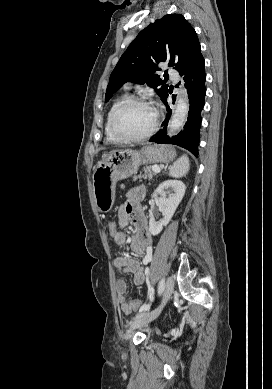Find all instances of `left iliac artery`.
Here are the masks:
<instances>
[{
	"label": "left iliac artery",
	"instance_id": "obj_1",
	"mask_svg": "<svg viewBox=\"0 0 272 389\" xmlns=\"http://www.w3.org/2000/svg\"><path fill=\"white\" fill-rule=\"evenodd\" d=\"M164 287H165V280L162 279V280L159 282V286H158V294H159V295L163 292ZM153 295H154L153 287L149 284V286H148V297H149L150 301L153 300ZM147 308H148V306L146 305V306H145V309H147ZM141 316H143V314L137 315L135 318L137 319V318H139V317H141Z\"/></svg>",
	"mask_w": 272,
	"mask_h": 389
}]
</instances>
